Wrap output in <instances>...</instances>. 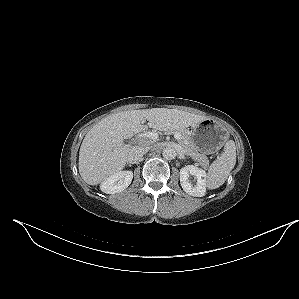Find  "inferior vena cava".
<instances>
[{"mask_svg":"<svg viewBox=\"0 0 299 299\" xmlns=\"http://www.w3.org/2000/svg\"><path fill=\"white\" fill-rule=\"evenodd\" d=\"M150 149L148 146H134L128 153V161L132 164L139 163L144 154Z\"/></svg>","mask_w":299,"mask_h":299,"instance_id":"1","label":"inferior vena cava"}]
</instances>
